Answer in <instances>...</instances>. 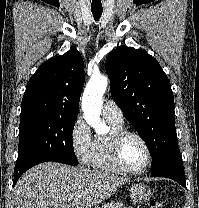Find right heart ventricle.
Here are the masks:
<instances>
[{
    "instance_id": "right-heart-ventricle-1",
    "label": "right heart ventricle",
    "mask_w": 199,
    "mask_h": 208,
    "mask_svg": "<svg viewBox=\"0 0 199 208\" xmlns=\"http://www.w3.org/2000/svg\"><path fill=\"white\" fill-rule=\"evenodd\" d=\"M110 125L111 131L107 136L97 137L94 141V151L91 159V166L94 169L109 171V172H122L113 162L110 152V142L114 134L124 130V123L118 124L111 120L106 119Z\"/></svg>"
}]
</instances>
